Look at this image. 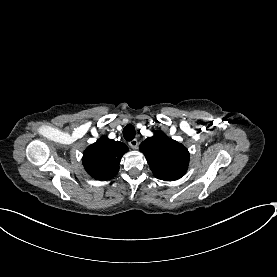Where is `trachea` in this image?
Here are the masks:
<instances>
[{
	"label": "trachea",
	"instance_id": "trachea-1",
	"mask_svg": "<svg viewBox=\"0 0 277 277\" xmlns=\"http://www.w3.org/2000/svg\"><path fill=\"white\" fill-rule=\"evenodd\" d=\"M136 130L132 124H128L123 129V136L125 140L132 141L135 138Z\"/></svg>",
	"mask_w": 277,
	"mask_h": 277
}]
</instances>
